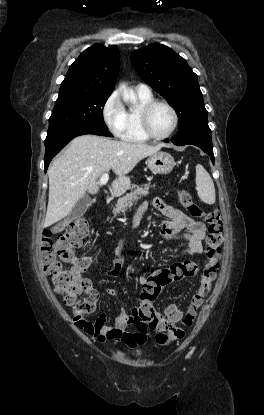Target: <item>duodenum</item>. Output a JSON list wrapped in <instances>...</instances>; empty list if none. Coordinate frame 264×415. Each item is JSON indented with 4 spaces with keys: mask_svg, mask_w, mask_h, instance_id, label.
<instances>
[{
    "mask_svg": "<svg viewBox=\"0 0 264 415\" xmlns=\"http://www.w3.org/2000/svg\"><path fill=\"white\" fill-rule=\"evenodd\" d=\"M138 223H139V220L136 218V219L134 220V225L136 226V225H138Z\"/></svg>",
    "mask_w": 264,
    "mask_h": 415,
    "instance_id": "obj_1",
    "label": "duodenum"
}]
</instances>
